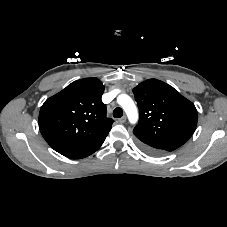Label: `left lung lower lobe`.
Here are the masks:
<instances>
[{
	"label": "left lung lower lobe",
	"instance_id": "left-lung-lower-lobe-1",
	"mask_svg": "<svg viewBox=\"0 0 227 227\" xmlns=\"http://www.w3.org/2000/svg\"><path fill=\"white\" fill-rule=\"evenodd\" d=\"M140 146L142 147V149H144V150H146V151H148V152L154 153V154H160V153H162L161 151H157V150H154V149L145 147V146H143L142 144H140Z\"/></svg>",
	"mask_w": 227,
	"mask_h": 227
}]
</instances>
